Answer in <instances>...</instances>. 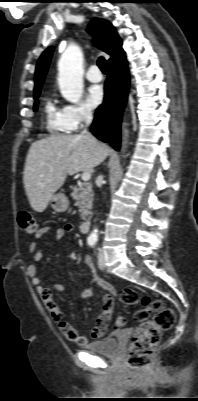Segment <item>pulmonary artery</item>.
Here are the masks:
<instances>
[{
	"label": "pulmonary artery",
	"mask_w": 198,
	"mask_h": 401,
	"mask_svg": "<svg viewBox=\"0 0 198 401\" xmlns=\"http://www.w3.org/2000/svg\"><path fill=\"white\" fill-rule=\"evenodd\" d=\"M86 79L92 83H98L102 81L103 75L97 65H92L89 67L86 73Z\"/></svg>",
	"instance_id": "obj_1"
}]
</instances>
